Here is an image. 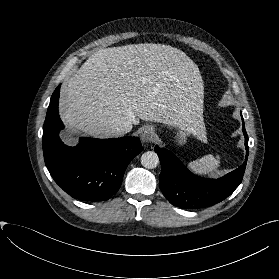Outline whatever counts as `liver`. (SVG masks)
<instances>
[{
  "instance_id": "1",
  "label": "liver",
  "mask_w": 279,
  "mask_h": 279,
  "mask_svg": "<svg viewBox=\"0 0 279 279\" xmlns=\"http://www.w3.org/2000/svg\"><path fill=\"white\" fill-rule=\"evenodd\" d=\"M204 85L198 66L183 51L156 43L100 49L62 89L60 114L72 128L96 138L120 137L140 120L187 125L206 142ZM70 142L71 139H65Z\"/></svg>"
}]
</instances>
